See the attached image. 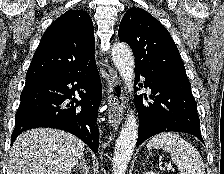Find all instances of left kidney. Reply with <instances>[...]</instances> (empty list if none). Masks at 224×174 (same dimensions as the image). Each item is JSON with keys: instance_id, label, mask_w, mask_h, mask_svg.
Wrapping results in <instances>:
<instances>
[{"instance_id": "obj_1", "label": "left kidney", "mask_w": 224, "mask_h": 174, "mask_svg": "<svg viewBox=\"0 0 224 174\" xmlns=\"http://www.w3.org/2000/svg\"><path fill=\"white\" fill-rule=\"evenodd\" d=\"M143 174H158V173H154V172H152V171H148V172H145V173H143Z\"/></svg>"}]
</instances>
